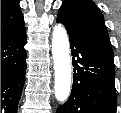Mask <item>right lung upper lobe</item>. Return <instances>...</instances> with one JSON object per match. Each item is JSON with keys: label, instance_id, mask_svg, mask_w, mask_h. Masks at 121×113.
Wrapping results in <instances>:
<instances>
[{"label": "right lung upper lobe", "instance_id": "obj_1", "mask_svg": "<svg viewBox=\"0 0 121 113\" xmlns=\"http://www.w3.org/2000/svg\"><path fill=\"white\" fill-rule=\"evenodd\" d=\"M23 26L19 0H1V38L15 33Z\"/></svg>", "mask_w": 121, "mask_h": 113}]
</instances>
